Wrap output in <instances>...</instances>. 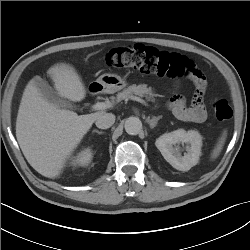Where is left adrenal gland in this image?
<instances>
[{"instance_id":"1","label":"left adrenal gland","mask_w":250,"mask_h":250,"mask_svg":"<svg viewBox=\"0 0 250 250\" xmlns=\"http://www.w3.org/2000/svg\"><path fill=\"white\" fill-rule=\"evenodd\" d=\"M161 118H162V116H158V117L153 116L152 119H150V117H148V118H147V122L149 123L150 128L156 127L158 121H159Z\"/></svg>"}]
</instances>
